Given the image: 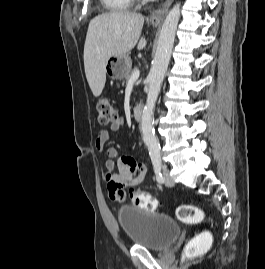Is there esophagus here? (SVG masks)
Returning a JSON list of instances; mask_svg holds the SVG:
<instances>
[{"label":"esophagus","mask_w":265,"mask_h":269,"mask_svg":"<svg viewBox=\"0 0 265 269\" xmlns=\"http://www.w3.org/2000/svg\"><path fill=\"white\" fill-rule=\"evenodd\" d=\"M173 0H166V2L163 4L162 7L159 9L155 10L151 15H150V22L151 23H160L165 14L167 13L169 7L171 6Z\"/></svg>","instance_id":"esophagus-1"}]
</instances>
